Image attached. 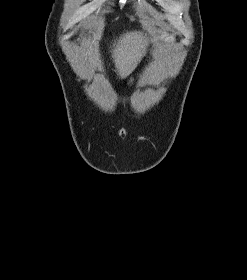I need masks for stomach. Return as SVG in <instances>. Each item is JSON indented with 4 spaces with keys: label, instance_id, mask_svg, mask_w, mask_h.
<instances>
[{
    "label": "stomach",
    "instance_id": "1",
    "mask_svg": "<svg viewBox=\"0 0 247 280\" xmlns=\"http://www.w3.org/2000/svg\"><path fill=\"white\" fill-rule=\"evenodd\" d=\"M155 42L158 41H164L166 44L168 45H173L175 42V39L167 34H160L159 36H157L154 40ZM132 81V80H131Z\"/></svg>",
    "mask_w": 247,
    "mask_h": 280
}]
</instances>
